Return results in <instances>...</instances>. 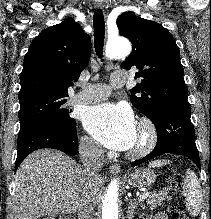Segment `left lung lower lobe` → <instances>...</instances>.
Here are the masks:
<instances>
[{"instance_id":"1","label":"left lung lower lobe","mask_w":211,"mask_h":219,"mask_svg":"<svg viewBox=\"0 0 211 219\" xmlns=\"http://www.w3.org/2000/svg\"><path fill=\"white\" fill-rule=\"evenodd\" d=\"M190 112L188 103H170L162 106L151 119L157 130V146L144 158L134 161L132 166L165 153H173L188 157L200 168Z\"/></svg>"}]
</instances>
